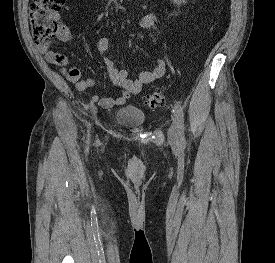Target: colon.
<instances>
[{"label":"colon","instance_id":"5ec220e1","mask_svg":"<svg viewBox=\"0 0 275 263\" xmlns=\"http://www.w3.org/2000/svg\"><path fill=\"white\" fill-rule=\"evenodd\" d=\"M66 0H32L30 8L31 34L38 45L46 44L60 31L61 25L56 13L61 10ZM144 106L155 109L165 104L162 94H146L142 97Z\"/></svg>","mask_w":275,"mask_h":263}]
</instances>
